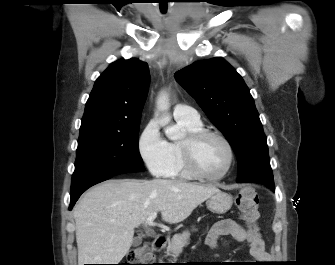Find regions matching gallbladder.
<instances>
[{
  "label": "gallbladder",
  "mask_w": 335,
  "mask_h": 265,
  "mask_svg": "<svg viewBox=\"0 0 335 265\" xmlns=\"http://www.w3.org/2000/svg\"><path fill=\"white\" fill-rule=\"evenodd\" d=\"M141 243H142V236H141V235H138L137 237H135V238L133 239L132 245H133L134 247H137V246H139Z\"/></svg>",
  "instance_id": "bac80fb5"
}]
</instances>
